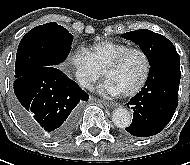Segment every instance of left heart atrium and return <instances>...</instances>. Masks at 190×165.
I'll use <instances>...</instances> for the list:
<instances>
[{
	"instance_id": "obj_1",
	"label": "left heart atrium",
	"mask_w": 190,
	"mask_h": 165,
	"mask_svg": "<svg viewBox=\"0 0 190 165\" xmlns=\"http://www.w3.org/2000/svg\"><path fill=\"white\" fill-rule=\"evenodd\" d=\"M100 91L106 94L117 95L120 94L121 91L108 79H106L100 85Z\"/></svg>"
}]
</instances>
